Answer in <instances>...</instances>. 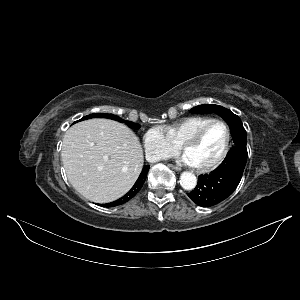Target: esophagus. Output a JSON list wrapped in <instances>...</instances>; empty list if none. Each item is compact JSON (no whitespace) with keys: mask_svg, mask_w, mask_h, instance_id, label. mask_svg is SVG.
<instances>
[{"mask_svg":"<svg viewBox=\"0 0 300 300\" xmlns=\"http://www.w3.org/2000/svg\"><path fill=\"white\" fill-rule=\"evenodd\" d=\"M169 167H171L172 169L176 170V171H181V168L179 166L176 165H169Z\"/></svg>","mask_w":300,"mask_h":300,"instance_id":"esophagus-1","label":"esophagus"}]
</instances>
